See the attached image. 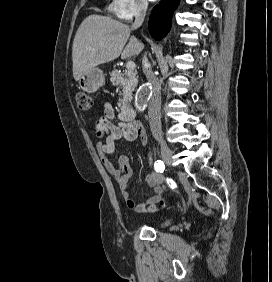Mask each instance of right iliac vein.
Listing matches in <instances>:
<instances>
[{
    "label": "right iliac vein",
    "instance_id": "63e3f726",
    "mask_svg": "<svg viewBox=\"0 0 272 282\" xmlns=\"http://www.w3.org/2000/svg\"><path fill=\"white\" fill-rule=\"evenodd\" d=\"M160 149L163 161L170 166L172 164V152L170 148L164 142H160Z\"/></svg>",
    "mask_w": 272,
    "mask_h": 282
}]
</instances>
